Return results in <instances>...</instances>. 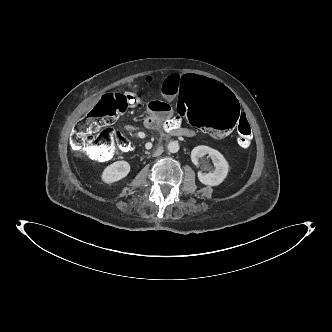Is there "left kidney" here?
<instances>
[{"label": "left kidney", "mask_w": 332, "mask_h": 332, "mask_svg": "<svg viewBox=\"0 0 332 332\" xmlns=\"http://www.w3.org/2000/svg\"><path fill=\"white\" fill-rule=\"evenodd\" d=\"M206 154H208L210 159L213 161L215 169L209 173H202L199 171L198 179L204 185L217 186L227 177L229 164L219 151L205 145L196 146L192 150L191 160L197 167L201 166L203 170H208L210 168L206 166L203 161V156Z\"/></svg>", "instance_id": "obj_1"}]
</instances>
